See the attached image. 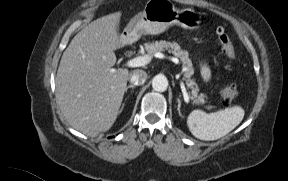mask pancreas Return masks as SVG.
<instances>
[{"mask_svg":"<svg viewBox=\"0 0 288 181\" xmlns=\"http://www.w3.org/2000/svg\"><path fill=\"white\" fill-rule=\"evenodd\" d=\"M144 48L147 53L152 57L158 52H162L167 50L169 53H172L174 56L180 58L183 67L185 68L184 77L186 80V84L189 88L192 89V99H194V103L196 104H203L205 102L204 94L198 95V86L197 84L191 79V76L194 73V69L192 67V62L189 58V54L187 51L181 49L180 45L176 42H168L165 40L161 41H153L144 44Z\"/></svg>","mask_w":288,"mask_h":181,"instance_id":"cf45deb5","label":"pancreas"}]
</instances>
